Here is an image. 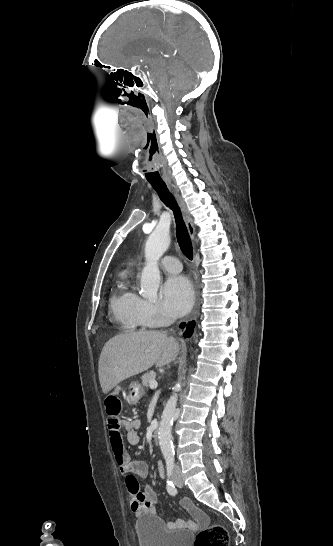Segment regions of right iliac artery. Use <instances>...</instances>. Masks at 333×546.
Here are the masks:
<instances>
[{
  "label": "right iliac artery",
  "instance_id": "right-iliac-artery-1",
  "mask_svg": "<svg viewBox=\"0 0 333 546\" xmlns=\"http://www.w3.org/2000/svg\"><path fill=\"white\" fill-rule=\"evenodd\" d=\"M166 466H167V491L170 495H176L177 489L175 488L174 484L170 480V477L172 475L173 467H174V458L173 457H167L166 458Z\"/></svg>",
  "mask_w": 333,
  "mask_h": 546
}]
</instances>
